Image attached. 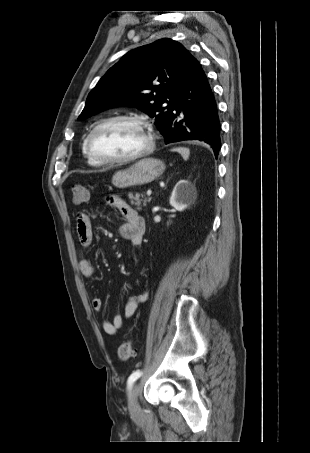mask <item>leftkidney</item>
<instances>
[{
    "label": "left kidney",
    "mask_w": 310,
    "mask_h": 453,
    "mask_svg": "<svg viewBox=\"0 0 310 453\" xmlns=\"http://www.w3.org/2000/svg\"><path fill=\"white\" fill-rule=\"evenodd\" d=\"M194 196V190L188 185V182L180 180L172 191L169 203L177 211H183L192 202Z\"/></svg>",
    "instance_id": "left-kidney-1"
}]
</instances>
